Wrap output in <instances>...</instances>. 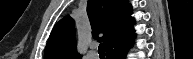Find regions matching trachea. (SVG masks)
<instances>
[{"label":"trachea","instance_id":"obj_1","mask_svg":"<svg viewBox=\"0 0 193 59\" xmlns=\"http://www.w3.org/2000/svg\"><path fill=\"white\" fill-rule=\"evenodd\" d=\"M98 53H99V55H104L105 54V46H104L103 43L99 44Z\"/></svg>","mask_w":193,"mask_h":59}]
</instances>
